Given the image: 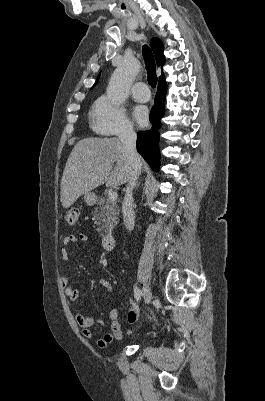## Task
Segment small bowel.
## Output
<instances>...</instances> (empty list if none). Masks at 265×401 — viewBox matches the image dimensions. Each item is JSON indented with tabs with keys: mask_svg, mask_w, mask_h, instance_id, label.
Wrapping results in <instances>:
<instances>
[{
	"mask_svg": "<svg viewBox=\"0 0 265 401\" xmlns=\"http://www.w3.org/2000/svg\"><path fill=\"white\" fill-rule=\"evenodd\" d=\"M62 242L65 247L61 249V259L64 262H67L69 260V251L66 248V246H69L70 244H75L77 242L87 243L89 242V236L86 234H79V235L70 234L65 236ZM61 283L64 286L66 297L71 302L76 301L78 299L79 292L71 285L70 278L67 276H63L61 278ZM98 283L101 286H103L111 295L113 296L115 295V288L108 280L100 278L98 279ZM132 311L137 313L135 306L132 307L129 314ZM109 317L111 319V332L106 333L104 336L97 339L96 343L100 348H105L112 342L116 340H121L123 338V332L120 324V317L118 310L116 308H112L110 310ZM75 319L82 330V334L87 339L93 338V330H92L93 326L103 325L102 320L95 319L94 316L91 314L83 315L81 313H77L75 315ZM129 322L132 323L130 320Z\"/></svg>",
	"mask_w": 265,
	"mask_h": 401,
	"instance_id": "c3829d8e",
	"label": "small bowel"
}]
</instances>
